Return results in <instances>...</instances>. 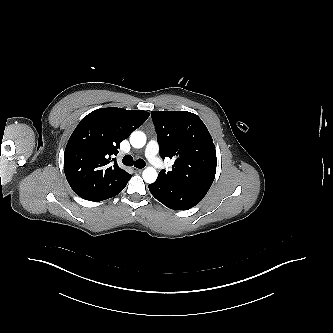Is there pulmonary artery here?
<instances>
[{
  "mask_svg": "<svg viewBox=\"0 0 333 333\" xmlns=\"http://www.w3.org/2000/svg\"><path fill=\"white\" fill-rule=\"evenodd\" d=\"M158 151V143L155 140H150L146 146L145 155L154 167L161 168L163 167V163L157 156Z\"/></svg>",
  "mask_w": 333,
  "mask_h": 333,
  "instance_id": "obj_1",
  "label": "pulmonary artery"
}]
</instances>
